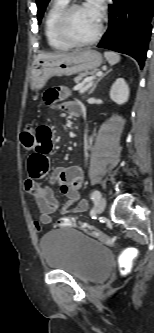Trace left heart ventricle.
Here are the masks:
<instances>
[{"instance_id": "1", "label": "left heart ventricle", "mask_w": 154, "mask_h": 333, "mask_svg": "<svg viewBox=\"0 0 154 333\" xmlns=\"http://www.w3.org/2000/svg\"><path fill=\"white\" fill-rule=\"evenodd\" d=\"M99 20L88 8L81 6L73 10L68 27L71 34L79 40L92 38L99 26Z\"/></svg>"}]
</instances>
